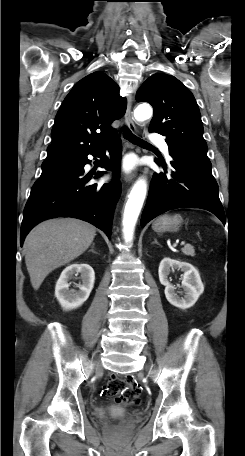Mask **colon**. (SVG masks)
Here are the masks:
<instances>
[{
  "label": "colon",
  "mask_w": 245,
  "mask_h": 456,
  "mask_svg": "<svg viewBox=\"0 0 245 456\" xmlns=\"http://www.w3.org/2000/svg\"><path fill=\"white\" fill-rule=\"evenodd\" d=\"M141 387L132 377H109L104 386V395L118 403L131 406L140 403Z\"/></svg>",
  "instance_id": "5ec220e1"
}]
</instances>
